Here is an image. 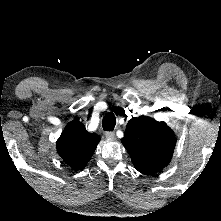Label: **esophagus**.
<instances>
[{
	"label": "esophagus",
	"instance_id": "1",
	"mask_svg": "<svg viewBox=\"0 0 221 221\" xmlns=\"http://www.w3.org/2000/svg\"><path fill=\"white\" fill-rule=\"evenodd\" d=\"M107 139L114 140L116 138L115 133L112 131L106 132L105 134Z\"/></svg>",
	"mask_w": 221,
	"mask_h": 221
}]
</instances>
